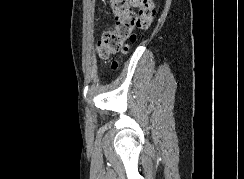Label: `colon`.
Returning <instances> with one entry per match:
<instances>
[{"instance_id": "1", "label": "colon", "mask_w": 244, "mask_h": 179, "mask_svg": "<svg viewBox=\"0 0 244 179\" xmlns=\"http://www.w3.org/2000/svg\"><path fill=\"white\" fill-rule=\"evenodd\" d=\"M110 5L115 15L116 27L113 31L104 32L98 42L97 52L102 59L115 53L126 54L127 41L136 39L137 30H148L155 14L153 4L143 0H113Z\"/></svg>"}]
</instances>
